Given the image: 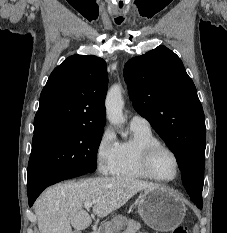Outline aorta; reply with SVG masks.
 Returning <instances> with one entry per match:
<instances>
[{
    "instance_id": "762f6f07",
    "label": "aorta",
    "mask_w": 227,
    "mask_h": 233,
    "mask_svg": "<svg viewBox=\"0 0 227 233\" xmlns=\"http://www.w3.org/2000/svg\"><path fill=\"white\" fill-rule=\"evenodd\" d=\"M106 114L109 122L113 125H121L125 122L123 116L124 101L120 85H113L106 96Z\"/></svg>"
}]
</instances>
